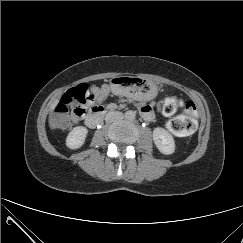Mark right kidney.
<instances>
[{
  "label": "right kidney",
  "mask_w": 243,
  "mask_h": 243,
  "mask_svg": "<svg viewBox=\"0 0 243 243\" xmlns=\"http://www.w3.org/2000/svg\"><path fill=\"white\" fill-rule=\"evenodd\" d=\"M88 130L84 126H78L73 128L72 131L69 132L66 138V145L70 149H78L80 148L86 139Z\"/></svg>",
  "instance_id": "obj_1"
}]
</instances>
